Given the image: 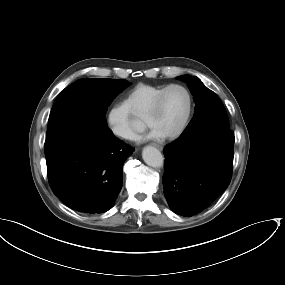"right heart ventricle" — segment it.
<instances>
[{"label": "right heart ventricle", "instance_id": "e07e8e85", "mask_svg": "<svg viewBox=\"0 0 285 285\" xmlns=\"http://www.w3.org/2000/svg\"><path fill=\"white\" fill-rule=\"evenodd\" d=\"M163 87L165 85L137 84L125 95L123 104L133 117H144L151 103Z\"/></svg>", "mask_w": 285, "mask_h": 285}]
</instances>
